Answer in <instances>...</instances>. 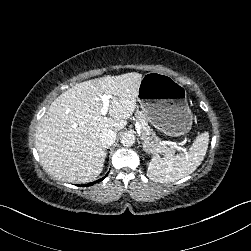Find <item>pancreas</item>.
I'll return each instance as SVG.
<instances>
[{
    "instance_id": "pancreas-1",
    "label": "pancreas",
    "mask_w": 251,
    "mask_h": 251,
    "mask_svg": "<svg viewBox=\"0 0 251 251\" xmlns=\"http://www.w3.org/2000/svg\"><path fill=\"white\" fill-rule=\"evenodd\" d=\"M134 116L136 117L141 128V139L151 152L154 154H167L170 150H172V148L167 145L166 142L155 136L147 116L140 109H136L134 111Z\"/></svg>"
}]
</instances>
